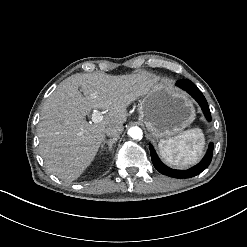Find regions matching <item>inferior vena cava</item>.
Instances as JSON below:
<instances>
[{"instance_id":"1","label":"inferior vena cava","mask_w":247,"mask_h":247,"mask_svg":"<svg viewBox=\"0 0 247 247\" xmlns=\"http://www.w3.org/2000/svg\"><path fill=\"white\" fill-rule=\"evenodd\" d=\"M124 127L122 124H110L105 128V134L114 140H117L122 134Z\"/></svg>"}]
</instances>
